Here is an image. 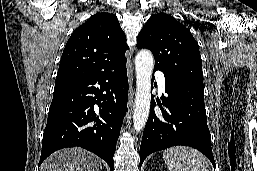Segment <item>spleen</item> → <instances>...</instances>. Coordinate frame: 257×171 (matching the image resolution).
<instances>
[{"instance_id":"spleen-1","label":"spleen","mask_w":257,"mask_h":171,"mask_svg":"<svg viewBox=\"0 0 257 171\" xmlns=\"http://www.w3.org/2000/svg\"><path fill=\"white\" fill-rule=\"evenodd\" d=\"M163 159L170 171H210L206 157L190 147L169 148L164 151Z\"/></svg>"}]
</instances>
